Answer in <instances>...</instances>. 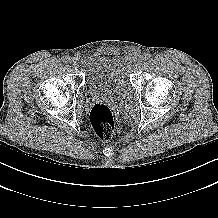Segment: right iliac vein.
Instances as JSON below:
<instances>
[{
  "label": "right iliac vein",
  "instance_id": "63e3f726",
  "mask_svg": "<svg viewBox=\"0 0 218 218\" xmlns=\"http://www.w3.org/2000/svg\"><path fill=\"white\" fill-rule=\"evenodd\" d=\"M69 63H70V65H71L72 67H77V65H78V62H77V60H76L75 58H71V59L69 60Z\"/></svg>",
  "mask_w": 218,
  "mask_h": 218
}]
</instances>
